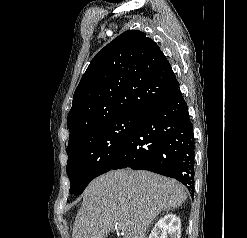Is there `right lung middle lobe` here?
I'll return each instance as SVG.
<instances>
[{
  "label": "right lung middle lobe",
  "instance_id": "right-lung-middle-lobe-1",
  "mask_svg": "<svg viewBox=\"0 0 247 238\" xmlns=\"http://www.w3.org/2000/svg\"><path fill=\"white\" fill-rule=\"evenodd\" d=\"M140 114L115 118L84 132L68 144L70 193L80 195L95 177L108 172L133 133Z\"/></svg>",
  "mask_w": 247,
  "mask_h": 238
}]
</instances>
